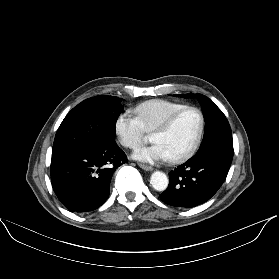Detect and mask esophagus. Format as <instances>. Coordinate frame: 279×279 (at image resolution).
<instances>
[{
    "instance_id": "esophagus-1",
    "label": "esophagus",
    "mask_w": 279,
    "mask_h": 279,
    "mask_svg": "<svg viewBox=\"0 0 279 279\" xmlns=\"http://www.w3.org/2000/svg\"><path fill=\"white\" fill-rule=\"evenodd\" d=\"M139 166L145 171H152L153 170V167L150 166V165L139 163Z\"/></svg>"
}]
</instances>
